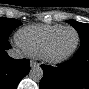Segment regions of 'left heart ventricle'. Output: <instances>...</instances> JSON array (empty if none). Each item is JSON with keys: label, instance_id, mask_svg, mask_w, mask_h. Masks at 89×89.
Listing matches in <instances>:
<instances>
[{"label": "left heart ventricle", "instance_id": "obj_1", "mask_svg": "<svg viewBox=\"0 0 89 89\" xmlns=\"http://www.w3.org/2000/svg\"><path fill=\"white\" fill-rule=\"evenodd\" d=\"M75 41V33L72 30H65L52 41L49 54L52 56L64 55L72 49Z\"/></svg>", "mask_w": 89, "mask_h": 89}]
</instances>
